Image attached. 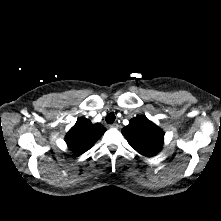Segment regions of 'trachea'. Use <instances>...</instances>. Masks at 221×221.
<instances>
[{"label":"trachea","mask_w":221,"mask_h":221,"mask_svg":"<svg viewBox=\"0 0 221 221\" xmlns=\"http://www.w3.org/2000/svg\"><path fill=\"white\" fill-rule=\"evenodd\" d=\"M115 115L113 113H109L107 116H106V122L108 124H112L114 121H115Z\"/></svg>","instance_id":"3493384b"}]
</instances>
